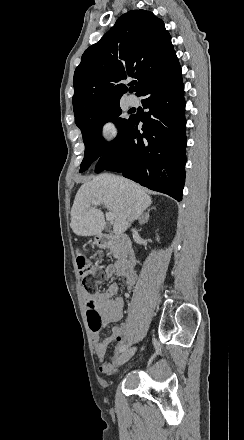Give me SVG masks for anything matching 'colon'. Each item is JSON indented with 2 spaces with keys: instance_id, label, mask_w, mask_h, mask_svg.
I'll use <instances>...</instances> for the list:
<instances>
[{
  "instance_id": "obj_1",
  "label": "colon",
  "mask_w": 244,
  "mask_h": 440,
  "mask_svg": "<svg viewBox=\"0 0 244 440\" xmlns=\"http://www.w3.org/2000/svg\"><path fill=\"white\" fill-rule=\"evenodd\" d=\"M75 261L78 264V269L81 274V282L85 288V292L87 294H94L96 292V288L102 283L103 275L100 271L101 265V255L100 253H96L91 262V268L95 270L91 272L89 271L88 265V253L86 250H78V253L75 254ZM87 306L92 307L95 304L94 299L89 298L86 301ZM87 319H100L101 311L100 310H87L86 311Z\"/></svg>"
}]
</instances>
